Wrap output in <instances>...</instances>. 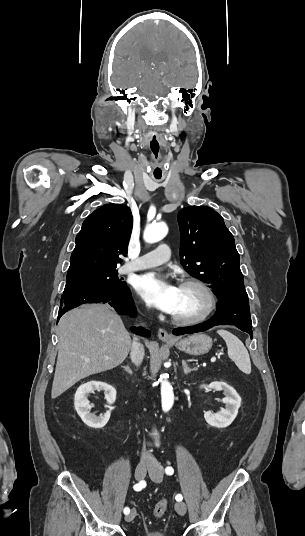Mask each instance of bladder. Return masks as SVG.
Segmentation results:
<instances>
[{
  "label": "bladder",
  "mask_w": 305,
  "mask_h": 536,
  "mask_svg": "<svg viewBox=\"0 0 305 536\" xmlns=\"http://www.w3.org/2000/svg\"><path fill=\"white\" fill-rule=\"evenodd\" d=\"M142 536H166L165 532L163 530H158L155 533L146 534Z\"/></svg>",
  "instance_id": "bladder-1"
}]
</instances>
